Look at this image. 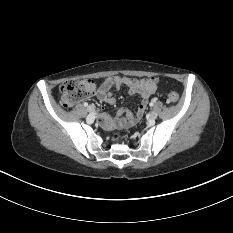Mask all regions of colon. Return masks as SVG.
Returning a JSON list of instances; mask_svg holds the SVG:
<instances>
[{
	"label": "colon",
	"instance_id": "colon-1",
	"mask_svg": "<svg viewBox=\"0 0 233 233\" xmlns=\"http://www.w3.org/2000/svg\"><path fill=\"white\" fill-rule=\"evenodd\" d=\"M96 88V83L91 79H73L66 81L59 88L61 105L65 108H70L78 100L92 96L96 92ZM167 100L171 103H176L179 100L178 93L174 91L168 93ZM114 139L117 140L118 137L114 136Z\"/></svg>",
	"mask_w": 233,
	"mask_h": 233
}]
</instances>
